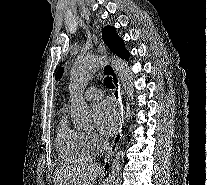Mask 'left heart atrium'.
<instances>
[{
  "mask_svg": "<svg viewBox=\"0 0 207 185\" xmlns=\"http://www.w3.org/2000/svg\"><path fill=\"white\" fill-rule=\"evenodd\" d=\"M96 126L104 136L112 135L119 124V110L110 100H104L95 108Z\"/></svg>",
  "mask_w": 207,
  "mask_h": 185,
  "instance_id": "1",
  "label": "left heart atrium"
}]
</instances>
